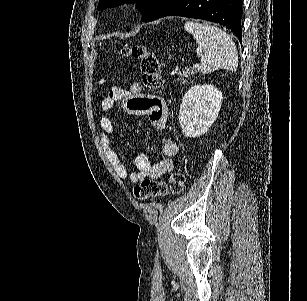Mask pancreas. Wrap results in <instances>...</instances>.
Listing matches in <instances>:
<instances>
[{
  "mask_svg": "<svg viewBox=\"0 0 307 301\" xmlns=\"http://www.w3.org/2000/svg\"><path fill=\"white\" fill-rule=\"evenodd\" d=\"M177 74H178L177 80H180L182 84H186V82H188L187 76H191V74H193V70H190V68H186V70H179Z\"/></svg>",
  "mask_w": 307,
  "mask_h": 301,
  "instance_id": "cf45deb5",
  "label": "pancreas"
}]
</instances>
